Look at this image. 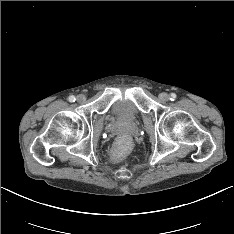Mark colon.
I'll return each mask as SVG.
<instances>
[{"mask_svg":"<svg viewBox=\"0 0 234 234\" xmlns=\"http://www.w3.org/2000/svg\"><path fill=\"white\" fill-rule=\"evenodd\" d=\"M132 150V143L126 137L120 138L114 144V149L110 152V159L116 164H123L127 160V154ZM124 173H126L124 171Z\"/></svg>","mask_w":234,"mask_h":234,"instance_id":"5ec220e1","label":"colon"}]
</instances>
